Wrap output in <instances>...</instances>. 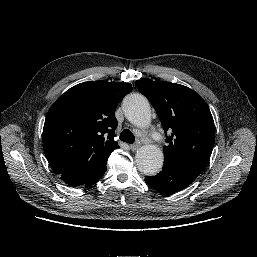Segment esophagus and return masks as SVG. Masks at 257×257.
Listing matches in <instances>:
<instances>
[{"label":"esophagus","mask_w":257,"mask_h":257,"mask_svg":"<svg viewBox=\"0 0 257 257\" xmlns=\"http://www.w3.org/2000/svg\"><path fill=\"white\" fill-rule=\"evenodd\" d=\"M130 148L133 152H135L140 148V144H133L130 146Z\"/></svg>","instance_id":"34e87169"}]
</instances>
